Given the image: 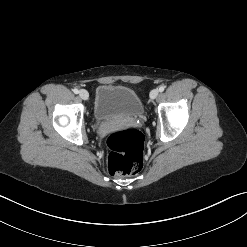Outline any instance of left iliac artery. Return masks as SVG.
I'll list each match as a JSON object with an SVG mask.
<instances>
[{
  "label": "left iliac artery",
  "mask_w": 247,
  "mask_h": 247,
  "mask_svg": "<svg viewBox=\"0 0 247 247\" xmlns=\"http://www.w3.org/2000/svg\"><path fill=\"white\" fill-rule=\"evenodd\" d=\"M164 89H165V87H164L163 85H161V86L159 87V91H160V92H163Z\"/></svg>",
  "instance_id": "44dca946"
}]
</instances>
